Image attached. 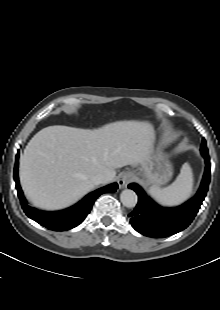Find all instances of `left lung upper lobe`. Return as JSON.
I'll use <instances>...</instances> for the list:
<instances>
[{
	"mask_svg": "<svg viewBox=\"0 0 220 310\" xmlns=\"http://www.w3.org/2000/svg\"><path fill=\"white\" fill-rule=\"evenodd\" d=\"M200 151H201V154L208 153V149H207V146H206V141H205L204 138L202 139V145H201Z\"/></svg>",
	"mask_w": 220,
	"mask_h": 310,
	"instance_id": "left-lung-upper-lobe-1",
	"label": "left lung upper lobe"
}]
</instances>
